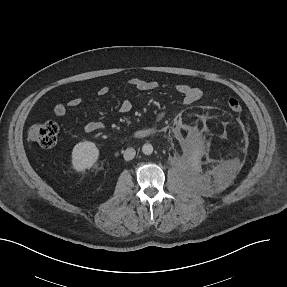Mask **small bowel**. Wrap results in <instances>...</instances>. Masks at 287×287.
<instances>
[{"mask_svg": "<svg viewBox=\"0 0 287 287\" xmlns=\"http://www.w3.org/2000/svg\"><path fill=\"white\" fill-rule=\"evenodd\" d=\"M129 85L138 91H154L160 88L158 82L153 80H145L138 77L130 78L128 81ZM176 93L182 96V101L186 105H190L199 101L203 92L200 88L188 85V84H177L171 87ZM109 92V88L103 86L99 89L98 93L101 96L106 95ZM82 103V99L75 97L70 99L67 103L59 102L54 106V113L58 117H62L66 114L68 107H76ZM132 103L129 100H124L119 106L120 113H128L132 110ZM165 117L164 112H159L156 116L158 121H161ZM105 128V123L99 121H90L84 125V132L94 133Z\"/></svg>", "mask_w": 287, "mask_h": 287, "instance_id": "1", "label": "small bowel"}]
</instances>
